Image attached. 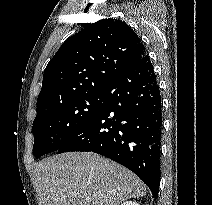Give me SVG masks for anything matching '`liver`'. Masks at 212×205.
Instances as JSON below:
<instances>
[{
	"label": "liver",
	"instance_id": "6515ba94",
	"mask_svg": "<svg viewBox=\"0 0 212 205\" xmlns=\"http://www.w3.org/2000/svg\"><path fill=\"white\" fill-rule=\"evenodd\" d=\"M40 205H119L146 195L130 170L93 152H67L34 167Z\"/></svg>",
	"mask_w": 212,
	"mask_h": 205
}]
</instances>
